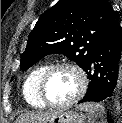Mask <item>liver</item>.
<instances>
[{
    "label": "liver",
    "instance_id": "1",
    "mask_svg": "<svg viewBox=\"0 0 122 123\" xmlns=\"http://www.w3.org/2000/svg\"><path fill=\"white\" fill-rule=\"evenodd\" d=\"M52 112H28L25 114H21L16 123H46L49 121Z\"/></svg>",
    "mask_w": 122,
    "mask_h": 123
}]
</instances>
